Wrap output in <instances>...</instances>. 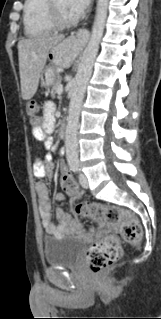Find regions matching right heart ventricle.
I'll use <instances>...</instances> for the list:
<instances>
[{"label": "right heart ventricle", "mask_w": 161, "mask_h": 319, "mask_svg": "<svg viewBox=\"0 0 161 319\" xmlns=\"http://www.w3.org/2000/svg\"><path fill=\"white\" fill-rule=\"evenodd\" d=\"M47 0H26L24 5V34L27 38H40L50 34L54 27L49 21Z\"/></svg>", "instance_id": "right-heart-ventricle-1"}]
</instances>
